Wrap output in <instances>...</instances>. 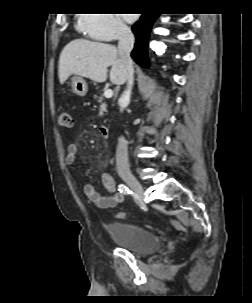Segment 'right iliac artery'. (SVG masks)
Wrapping results in <instances>:
<instances>
[{
  "mask_svg": "<svg viewBox=\"0 0 252 303\" xmlns=\"http://www.w3.org/2000/svg\"><path fill=\"white\" fill-rule=\"evenodd\" d=\"M119 191L122 192L125 195L131 193V191L129 190V188L125 184H120L119 185Z\"/></svg>",
  "mask_w": 252,
  "mask_h": 303,
  "instance_id": "1",
  "label": "right iliac artery"
}]
</instances>
